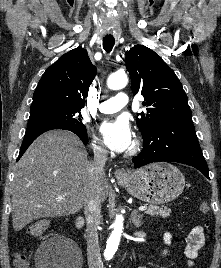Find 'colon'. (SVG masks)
I'll return each instance as SVG.
<instances>
[{
    "label": "colon",
    "mask_w": 221,
    "mask_h": 268,
    "mask_svg": "<svg viewBox=\"0 0 221 268\" xmlns=\"http://www.w3.org/2000/svg\"><path fill=\"white\" fill-rule=\"evenodd\" d=\"M199 208L200 211L204 214H207L210 211V206L206 201L201 202ZM205 226L208 227L209 223L205 222ZM48 227L49 222L47 220L45 219L38 220L28 227V233L33 236H36L47 230ZM15 265L17 268H30L24 254L21 252L17 253L15 256Z\"/></svg>",
    "instance_id": "1"
}]
</instances>
